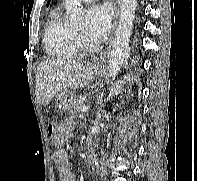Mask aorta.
<instances>
[{
    "label": "aorta",
    "instance_id": "aorta-1",
    "mask_svg": "<svg viewBox=\"0 0 197 181\" xmlns=\"http://www.w3.org/2000/svg\"><path fill=\"white\" fill-rule=\"evenodd\" d=\"M136 6L137 0H122L120 19L109 59V76L112 80L120 71L129 47ZM65 7L72 23H83L84 13L80 0H65ZM93 161L98 166L96 155Z\"/></svg>",
    "mask_w": 197,
    "mask_h": 181
}]
</instances>
